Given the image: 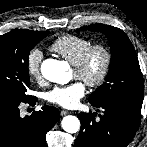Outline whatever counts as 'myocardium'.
<instances>
[{
    "label": "myocardium",
    "mask_w": 147,
    "mask_h": 147,
    "mask_svg": "<svg viewBox=\"0 0 147 147\" xmlns=\"http://www.w3.org/2000/svg\"><path fill=\"white\" fill-rule=\"evenodd\" d=\"M100 53L103 57V64L100 72L94 78H85L84 74L89 67L93 57ZM112 66V53L110 48L104 43L92 44L81 56L76 64L73 65L74 71L78 78L84 80L91 87H98L102 85L111 70Z\"/></svg>",
    "instance_id": "obj_1"
}]
</instances>
